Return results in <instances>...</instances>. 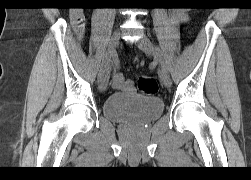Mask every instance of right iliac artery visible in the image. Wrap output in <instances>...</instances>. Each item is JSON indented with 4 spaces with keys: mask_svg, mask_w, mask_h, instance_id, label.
Listing matches in <instances>:
<instances>
[{
    "mask_svg": "<svg viewBox=\"0 0 251 180\" xmlns=\"http://www.w3.org/2000/svg\"><path fill=\"white\" fill-rule=\"evenodd\" d=\"M108 61H109V57H108V55L106 53L104 58H103L100 70H99L98 79H100L102 77V75L104 73V70L107 67Z\"/></svg>",
    "mask_w": 251,
    "mask_h": 180,
    "instance_id": "right-iliac-artery-1",
    "label": "right iliac artery"
}]
</instances>
